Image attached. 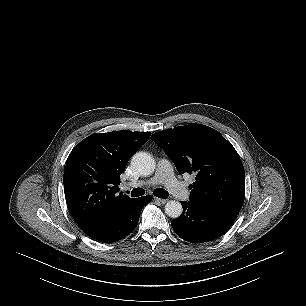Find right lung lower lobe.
Returning a JSON list of instances; mask_svg holds the SVG:
<instances>
[{
  "label": "right lung lower lobe",
  "mask_w": 306,
  "mask_h": 306,
  "mask_svg": "<svg viewBox=\"0 0 306 306\" xmlns=\"http://www.w3.org/2000/svg\"><path fill=\"white\" fill-rule=\"evenodd\" d=\"M151 201L150 195L132 199L108 227L90 237L106 243L123 239L136 228L142 208Z\"/></svg>",
  "instance_id": "right-lung-lower-lobe-1"
}]
</instances>
